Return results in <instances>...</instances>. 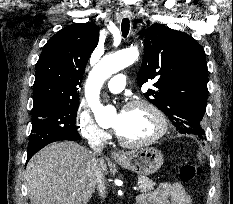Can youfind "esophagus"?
<instances>
[{
  "mask_svg": "<svg viewBox=\"0 0 233 204\" xmlns=\"http://www.w3.org/2000/svg\"><path fill=\"white\" fill-rule=\"evenodd\" d=\"M122 16L123 17H130L131 16V12L128 11V10H124V11H122ZM112 157L115 160L122 159V158L125 157V153L123 151H115V152L112 153Z\"/></svg>",
  "mask_w": 233,
  "mask_h": 204,
  "instance_id": "34e87169",
  "label": "esophagus"
}]
</instances>
